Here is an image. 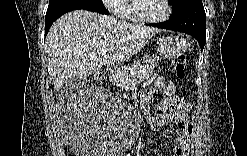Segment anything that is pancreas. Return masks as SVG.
Wrapping results in <instances>:
<instances>
[{"instance_id": "pancreas-1", "label": "pancreas", "mask_w": 247, "mask_h": 156, "mask_svg": "<svg viewBox=\"0 0 247 156\" xmlns=\"http://www.w3.org/2000/svg\"><path fill=\"white\" fill-rule=\"evenodd\" d=\"M150 63V59H144L122 67L112 73L110 80L118 87L127 90L131 83L138 84L151 77L155 66Z\"/></svg>"}]
</instances>
